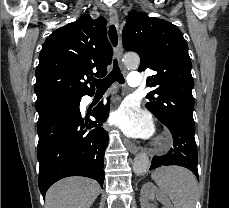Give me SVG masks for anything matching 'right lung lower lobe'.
<instances>
[{
	"label": "right lung lower lobe",
	"instance_id": "98d812e1",
	"mask_svg": "<svg viewBox=\"0 0 229 208\" xmlns=\"http://www.w3.org/2000/svg\"><path fill=\"white\" fill-rule=\"evenodd\" d=\"M79 105L80 101L38 124V185L43 198L53 183L68 176H86L103 184L108 134L100 124L108 117L109 104H99L85 118Z\"/></svg>",
	"mask_w": 229,
	"mask_h": 208
}]
</instances>
